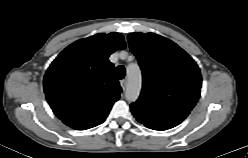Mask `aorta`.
<instances>
[{"label": "aorta", "mask_w": 248, "mask_h": 158, "mask_svg": "<svg viewBox=\"0 0 248 158\" xmlns=\"http://www.w3.org/2000/svg\"><path fill=\"white\" fill-rule=\"evenodd\" d=\"M142 86V76L138 65H131L127 68V86L125 97L129 102L138 99Z\"/></svg>", "instance_id": "762f6f07"}]
</instances>
